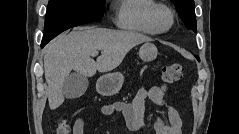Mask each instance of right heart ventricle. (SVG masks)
<instances>
[{"label": "right heart ventricle", "instance_id": "1", "mask_svg": "<svg viewBox=\"0 0 239 134\" xmlns=\"http://www.w3.org/2000/svg\"><path fill=\"white\" fill-rule=\"evenodd\" d=\"M156 4L153 0H120L116 6V24L118 27L155 35L157 32L148 20L150 8Z\"/></svg>", "mask_w": 239, "mask_h": 134}]
</instances>
